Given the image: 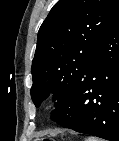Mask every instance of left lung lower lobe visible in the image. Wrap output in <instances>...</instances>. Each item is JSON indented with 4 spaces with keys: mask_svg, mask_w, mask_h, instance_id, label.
<instances>
[{
    "mask_svg": "<svg viewBox=\"0 0 119 141\" xmlns=\"http://www.w3.org/2000/svg\"><path fill=\"white\" fill-rule=\"evenodd\" d=\"M65 128L119 141V13L78 83L52 112Z\"/></svg>",
    "mask_w": 119,
    "mask_h": 141,
    "instance_id": "1",
    "label": "left lung lower lobe"
}]
</instances>
